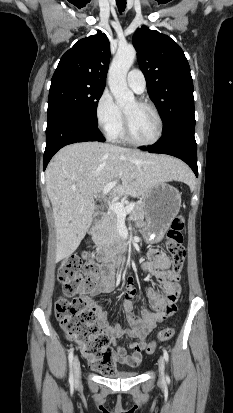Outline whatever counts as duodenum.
<instances>
[{
	"label": "duodenum",
	"instance_id": "duodenum-1",
	"mask_svg": "<svg viewBox=\"0 0 233 413\" xmlns=\"http://www.w3.org/2000/svg\"><path fill=\"white\" fill-rule=\"evenodd\" d=\"M128 247V240L122 236H118L114 241L105 246L99 254L102 260L108 262L113 255L126 250Z\"/></svg>",
	"mask_w": 233,
	"mask_h": 413
}]
</instances>
